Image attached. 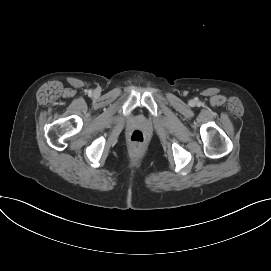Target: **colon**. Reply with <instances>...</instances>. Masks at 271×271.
Here are the masks:
<instances>
[{
	"label": "colon",
	"instance_id": "5ec220e1",
	"mask_svg": "<svg viewBox=\"0 0 271 271\" xmlns=\"http://www.w3.org/2000/svg\"><path fill=\"white\" fill-rule=\"evenodd\" d=\"M130 142L132 143V145L136 146V147H140L144 144L145 142V135L142 131L140 130H134L131 134H130Z\"/></svg>",
	"mask_w": 271,
	"mask_h": 271
}]
</instances>
